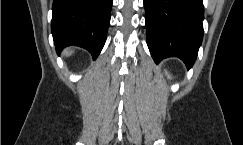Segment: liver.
Instances as JSON below:
<instances>
[{
    "label": "liver",
    "instance_id": "1",
    "mask_svg": "<svg viewBox=\"0 0 243 145\" xmlns=\"http://www.w3.org/2000/svg\"><path fill=\"white\" fill-rule=\"evenodd\" d=\"M64 54H65V55H70V54H71V51H70V50H65V51H64Z\"/></svg>",
    "mask_w": 243,
    "mask_h": 145
}]
</instances>
